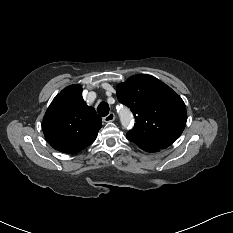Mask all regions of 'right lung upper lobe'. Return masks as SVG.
I'll return each mask as SVG.
<instances>
[{"label":"right lung upper lobe","mask_w":233,"mask_h":233,"mask_svg":"<svg viewBox=\"0 0 233 233\" xmlns=\"http://www.w3.org/2000/svg\"><path fill=\"white\" fill-rule=\"evenodd\" d=\"M102 126L101 118L82 98V87L71 85L52 101L42 128L49 144L64 153H76L90 145Z\"/></svg>","instance_id":"obj_1"}]
</instances>
